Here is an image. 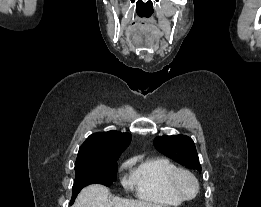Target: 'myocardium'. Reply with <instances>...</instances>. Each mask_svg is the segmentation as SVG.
Returning a JSON list of instances; mask_svg holds the SVG:
<instances>
[{
  "label": "myocardium",
  "mask_w": 261,
  "mask_h": 207,
  "mask_svg": "<svg viewBox=\"0 0 261 207\" xmlns=\"http://www.w3.org/2000/svg\"><path fill=\"white\" fill-rule=\"evenodd\" d=\"M183 177L189 178L194 186H195V190L194 193L192 195H187L181 188V179ZM169 187L171 189V191L178 197L180 198L182 201H189L194 199L200 190V185L198 182V179L196 178V176L186 170V169H182V168H177L176 170H174L170 177H169Z\"/></svg>",
  "instance_id": "obj_1"
}]
</instances>
